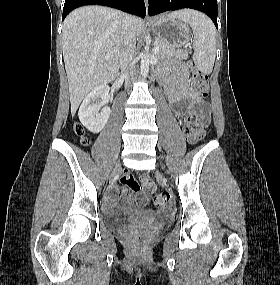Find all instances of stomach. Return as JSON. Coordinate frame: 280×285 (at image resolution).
Listing matches in <instances>:
<instances>
[{"label":"stomach","mask_w":280,"mask_h":285,"mask_svg":"<svg viewBox=\"0 0 280 285\" xmlns=\"http://www.w3.org/2000/svg\"><path fill=\"white\" fill-rule=\"evenodd\" d=\"M149 25L158 38L173 46H184L190 40L189 27L183 21L169 15L157 17Z\"/></svg>","instance_id":"stomach-1"}]
</instances>
